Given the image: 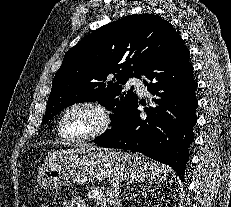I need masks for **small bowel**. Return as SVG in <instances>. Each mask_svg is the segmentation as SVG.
<instances>
[{
    "mask_svg": "<svg viewBox=\"0 0 231 207\" xmlns=\"http://www.w3.org/2000/svg\"><path fill=\"white\" fill-rule=\"evenodd\" d=\"M63 207H87L84 199L80 196H74L63 204Z\"/></svg>",
    "mask_w": 231,
    "mask_h": 207,
    "instance_id": "c3829d8e",
    "label": "small bowel"
}]
</instances>
